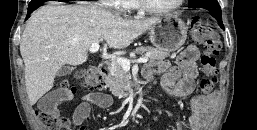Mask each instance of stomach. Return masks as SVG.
I'll list each match as a JSON object with an SVG mask.
<instances>
[{
    "label": "stomach",
    "instance_id": "0dacf381",
    "mask_svg": "<svg viewBox=\"0 0 257 130\" xmlns=\"http://www.w3.org/2000/svg\"><path fill=\"white\" fill-rule=\"evenodd\" d=\"M148 34L155 47L173 52L186 41L187 27L177 15H166L151 26Z\"/></svg>",
    "mask_w": 257,
    "mask_h": 130
}]
</instances>
